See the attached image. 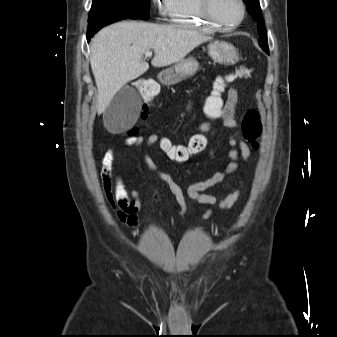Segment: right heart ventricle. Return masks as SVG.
I'll return each mask as SVG.
<instances>
[{"label":"right heart ventricle","mask_w":337,"mask_h":337,"mask_svg":"<svg viewBox=\"0 0 337 337\" xmlns=\"http://www.w3.org/2000/svg\"><path fill=\"white\" fill-rule=\"evenodd\" d=\"M166 15L175 25L213 32L212 27L202 16L199 0H167Z\"/></svg>","instance_id":"e07e8e85"}]
</instances>
